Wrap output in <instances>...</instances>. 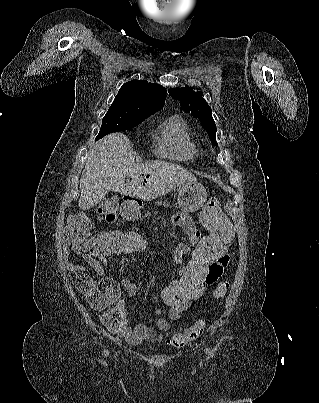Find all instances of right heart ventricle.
Masks as SVG:
<instances>
[{
    "label": "right heart ventricle",
    "mask_w": 319,
    "mask_h": 403,
    "mask_svg": "<svg viewBox=\"0 0 319 403\" xmlns=\"http://www.w3.org/2000/svg\"><path fill=\"white\" fill-rule=\"evenodd\" d=\"M155 152L158 156L179 161L195 159L198 148L191 129L183 117L172 115L158 126Z\"/></svg>",
    "instance_id": "obj_1"
}]
</instances>
